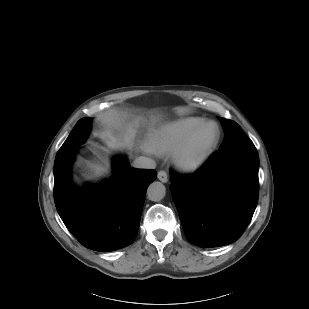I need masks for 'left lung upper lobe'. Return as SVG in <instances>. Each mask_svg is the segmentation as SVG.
I'll use <instances>...</instances> for the list:
<instances>
[{"instance_id":"left-lung-upper-lobe-1","label":"left lung upper lobe","mask_w":309,"mask_h":309,"mask_svg":"<svg viewBox=\"0 0 309 309\" xmlns=\"http://www.w3.org/2000/svg\"><path fill=\"white\" fill-rule=\"evenodd\" d=\"M225 129V139L220 151L230 150L239 146L253 144L252 141L242 131L241 127L234 121L221 118Z\"/></svg>"}]
</instances>
